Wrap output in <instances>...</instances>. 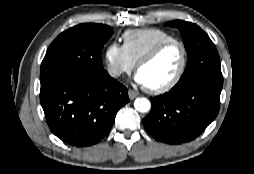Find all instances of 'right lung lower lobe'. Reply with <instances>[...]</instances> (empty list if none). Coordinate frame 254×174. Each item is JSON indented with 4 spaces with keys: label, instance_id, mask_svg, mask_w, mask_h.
Listing matches in <instances>:
<instances>
[{
    "label": "right lung lower lobe",
    "instance_id": "obj_1",
    "mask_svg": "<svg viewBox=\"0 0 254 174\" xmlns=\"http://www.w3.org/2000/svg\"><path fill=\"white\" fill-rule=\"evenodd\" d=\"M40 101L48 126L58 138L87 147L109 133L129 97L127 88L104 71L41 88Z\"/></svg>",
    "mask_w": 254,
    "mask_h": 174
}]
</instances>
